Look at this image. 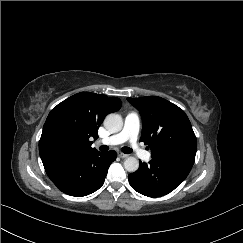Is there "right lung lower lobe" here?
<instances>
[{
	"mask_svg": "<svg viewBox=\"0 0 243 243\" xmlns=\"http://www.w3.org/2000/svg\"><path fill=\"white\" fill-rule=\"evenodd\" d=\"M116 157L115 151H95L44 168L58 189L68 195L82 197L95 192L103 185L108 168Z\"/></svg>",
	"mask_w": 243,
	"mask_h": 243,
	"instance_id": "1",
	"label": "right lung lower lobe"
}]
</instances>
